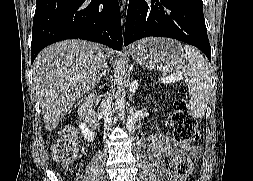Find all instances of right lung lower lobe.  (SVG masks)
I'll list each match as a JSON object with an SVG mask.
<instances>
[{"mask_svg": "<svg viewBox=\"0 0 253 181\" xmlns=\"http://www.w3.org/2000/svg\"><path fill=\"white\" fill-rule=\"evenodd\" d=\"M65 39H85L120 50L118 0H36L31 63L44 47Z\"/></svg>", "mask_w": 253, "mask_h": 181, "instance_id": "obj_1", "label": "right lung lower lobe"}]
</instances>
